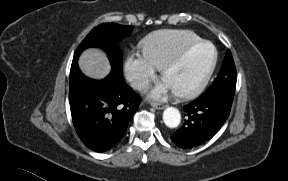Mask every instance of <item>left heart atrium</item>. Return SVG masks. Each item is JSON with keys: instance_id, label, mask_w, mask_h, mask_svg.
Segmentation results:
<instances>
[{"instance_id": "obj_1", "label": "left heart atrium", "mask_w": 288, "mask_h": 181, "mask_svg": "<svg viewBox=\"0 0 288 181\" xmlns=\"http://www.w3.org/2000/svg\"><path fill=\"white\" fill-rule=\"evenodd\" d=\"M169 90H173L165 80L159 82L152 90L150 95L153 98L159 99L165 96Z\"/></svg>"}]
</instances>
